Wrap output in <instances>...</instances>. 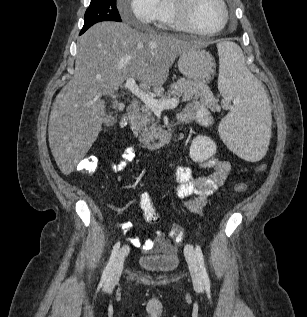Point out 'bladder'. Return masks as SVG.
<instances>
[{
  "label": "bladder",
  "mask_w": 307,
  "mask_h": 317,
  "mask_svg": "<svg viewBox=\"0 0 307 317\" xmlns=\"http://www.w3.org/2000/svg\"><path fill=\"white\" fill-rule=\"evenodd\" d=\"M138 264L149 271H172L179 263L178 255L175 253L166 255H143L137 260Z\"/></svg>",
  "instance_id": "31cf9c89"
}]
</instances>
